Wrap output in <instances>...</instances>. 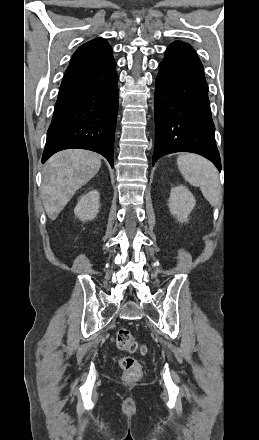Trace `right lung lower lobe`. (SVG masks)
<instances>
[{
	"mask_svg": "<svg viewBox=\"0 0 259 440\" xmlns=\"http://www.w3.org/2000/svg\"><path fill=\"white\" fill-rule=\"evenodd\" d=\"M112 55L90 64L69 66L62 79L42 155L69 148L92 150L113 167L118 112V75Z\"/></svg>",
	"mask_w": 259,
	"mask_h": 440,
	"instance_id": "98d812e1",
	"label": "right lung lower lobe"
}]
</instances>
